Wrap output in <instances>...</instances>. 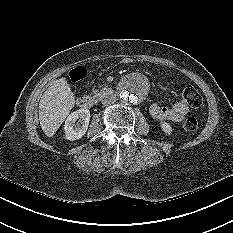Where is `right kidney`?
I'll list each match as a JSON object with an SVG mask.
<instances>
[{"mask_svg":"<svg viewBox=\"0 0 233 233\" xmlns=\"http://www.w3.org/2000/svg\"><path fill=\"white\" fill-rule=\"evenodd\" d=\"M90 111L82 108L72 112L65 121V138L74 141L82 138L88 129Z\"/></svg>","mask_w":233,"mask_h":233,"instance_id":"1","label":"right kidney"}]
</instances>
